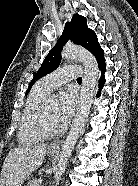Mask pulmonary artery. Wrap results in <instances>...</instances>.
I'll return each mask as SVG.
<instances>
[{
  "mask_svg": "<svg viewBox=\"0 0 138 186\" xmlns=\"http://www.w3.org/2000/svg\"><path fill=\"white\" fill-rule=\"evenodd\" d=\"M83 69L79 65L64 66L43 77L40 82L49 92L67 83L68 81L79 77Z\"/></svg>",
  "mask_w": 138,
  "mask_h": 186,
  "instance_id": "1",
  "label": "pulmonary artery"
}]
</instances>
